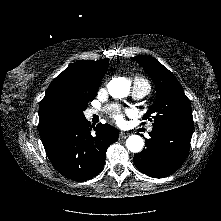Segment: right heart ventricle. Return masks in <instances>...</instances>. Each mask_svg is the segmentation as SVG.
Wrapping results in <instances>:
<instances>
[{
    "label": "right heart ventricle",
    "mask_w": 221,
    "mask_h": 221,
    "mask_svg": "<svg viewBox=\"0 0 221 221\" xmlns=\"http://www.w3.org/2000/svg\"><path fill=\"white\" fill-rule=\"evenodd\" d=\"M133 83H134V85L147 86L150 89L149 82L144 77L135 76L133 79Z\"/></svg>",
    "instance_id": "1"
}]
</instances>
